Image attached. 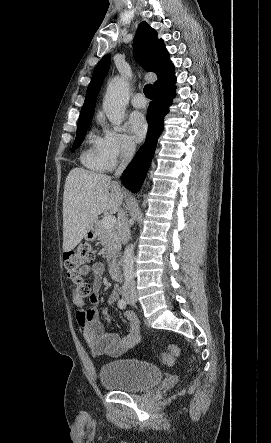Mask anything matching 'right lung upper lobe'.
Instances as JSON below:
<instances>
[{"label": "right lung upper lobe", "mask_w": 271, "mask_h": 443, "mask_svg": "<svg viewBox=\"0 0 271 443\" xmlns=\"http://www.w3.org/2000/svg\"><path fill=\"white\" fill-rule=\"evenodd\" d=\"M135 58L146 71L155 72L158 80L154 88L166 85L175 80L174 66L162 39H158L157 32L146 22L140 23L133 42ZM111 55H105L94 69L91 82L87 88L86 97L82 106L79 120L92 117L95 109L96 96L108 72Z\"/></svg>", "instance_id": "cb5924a9"}]
</instances>
